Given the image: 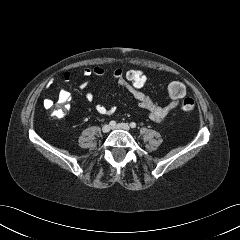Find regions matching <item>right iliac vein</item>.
<instances>
[{
	"instance_id": "right-iliac-vein-1",
	"label": "right iliac vein",
	"mask_w": 240,
	"mask_h": 240,
	"mask_svg": "<svg viewBox=\"0 0 240 240\" xmlns=\"http://www.w3.org/2000/svg\"><path fill=\"white\" fill-rule=\"evenodd\" d=\"M111 130L110 125L106 124L102 127V132L103 133H108Z\"/></svg>"
}]
</instances>
